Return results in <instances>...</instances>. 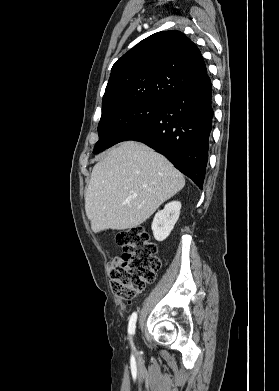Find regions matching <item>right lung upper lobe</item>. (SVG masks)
Wrapping results in <instances>:
<instances>
[{
    "instance_id": "1",
    "label": "right lung upper lobe",
    "mask_w": 279,
    "mask_h": 391,
    "mask_svg": "<svg viewBox=\"0 0 279 391\" xmlns=\"http://www.w3.org/2000/svg\"><path fill=\"white\" fill-rule=\"evenodd\" d=\"M206 75L200 50L183 33H155L113 65L102 113L142 101L164 103Z\"/></svg>"
}]
</instances>
